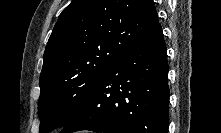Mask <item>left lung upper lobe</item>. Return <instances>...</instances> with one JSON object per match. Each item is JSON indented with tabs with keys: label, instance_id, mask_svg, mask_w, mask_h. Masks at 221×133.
Instances as JSON below:
<instances>
[{
	"label": "left lung upper lobe",
	"instance_id": "left-lung-upper-lobe-1",
	"mask_svg": "<svg viewBox=\"0 0 221 133\" xmlns=\"http://www.w3.org/2000/svg\"><path fill=\"white\" fill-rule=\"evenodd\" d=\"M157 20L153 0H72L44 52L40 133L67 126L107 68Z\"/></svg>",
	"mask_w": 221,
	"mask_h": 133
}]
</instances>
